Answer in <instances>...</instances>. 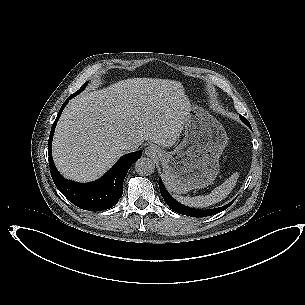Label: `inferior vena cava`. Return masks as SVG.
<instances>
[{
	"mask_svg": "<svg viewBox=\"0 0 305 305\" xmlns=\"http://www.w3.org/2000/svg\"><path fill=\"white\" fill-rule=\"evenodd\" d=\"M140 145H141V143H139L138 141L127 140L123 145V149L126 152H134L139 148Z\"/></svg>",
	"mask_w": 305,
	"mask_h": 305,
	"instance_id": "inferior-vena-cava-1",
	"label": "inferior vena cava"
}]
</instances>
